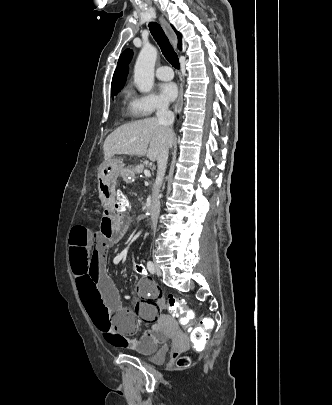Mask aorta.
Instances as JSON below:
<instances>
[{
	"label": "aorta",
	"instance_id": "1",
	"mask_svg": "<svg viewBox=\"0 0 332 405\" xmlns=\"http://www.w3.org/2000/svg\"><path fill=\"white\" fill-rule=\"evenodd\" d=\"M156 47L145 44L134 67V82L141 92H149L154 84V67L157 59Z\"/></svg>",
	"mask_w": 332,
	"mask_h": 405
}]
</instances>
